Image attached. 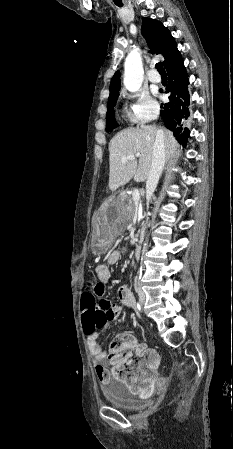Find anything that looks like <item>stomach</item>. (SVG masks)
I'll list each match as a JSON object with an SVG mask.
<instances>
[{
	"label": "stomach",
	"instance_id": "0dacf381",
	"mask_svg": "<svg viewBox=\"0 0 233 449\" xmlns=\"http://www.w3.org/2000/svg\"><path fill=\"white\" fill-rule=\"evenodd\" d=\"M120 198H111L109 201L102 203V212L94 213L96 221L98 240L94 244L93 249L97 253L105 252L111 245L110 235L113 227L117 226V220L121 216Z\"/></svg>",
	"mask_w": 233,
	"mask_h": 449
}]
</instances>
